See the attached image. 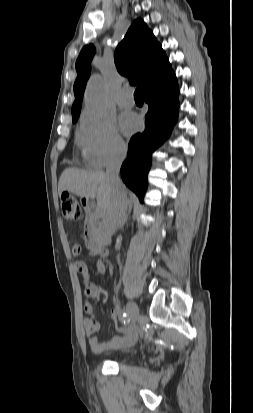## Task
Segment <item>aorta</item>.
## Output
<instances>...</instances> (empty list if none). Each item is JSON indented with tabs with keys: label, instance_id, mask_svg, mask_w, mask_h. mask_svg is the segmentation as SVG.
Listing matches in <instances>:
<instances>
[{
	"label": "aorta",
	"instance_id": "obj_1",
	"mask_svg": "<svg viewBox=\"0 0 253 413\" xmlns=\"http://www.w3.org/2000/svg\"><path fill=\"white\" fill-rule=\"evenodd\" d=\"M85 105L95 115L103 117L108 112V85L100 75L90 78L85 91Z\"/></svg>",
	"mask_w": 253,
	"mask_h": 413
}]
</instances>
